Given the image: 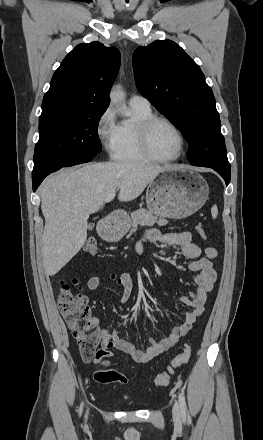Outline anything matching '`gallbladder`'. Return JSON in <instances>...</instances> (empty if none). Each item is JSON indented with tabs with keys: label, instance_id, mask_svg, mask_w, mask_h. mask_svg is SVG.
Instances as JSON below:
<instances>
[{
	"label": "gallbladder",
	"instance_id": "obj_1",
	"mask_svg": "<svg viewBox=\"0 0 263 440\" xmlns=\"http://www.w3.org/2000/svg\"><path fill=\"white\" fill-rule=\"evenodd\" d=\"M94 228V224L93 223H90L89 225H88V229L89 230H92Z\"/></svg>",
	"mask_w": 263,
	"mask_h": 440
}]
</instances>
